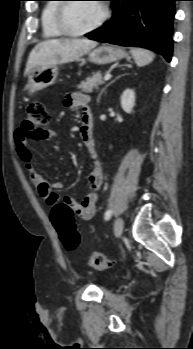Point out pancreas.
<instances>
[{"label": "pancreas", "instance_id": "cf45deb5", "mask_svg": "<svg viewBox=\"0 0 193 349\" xmlns=\"http://www.w3.org/2000/svg\"><path fill=\"white\" fill-rule=\"evenodd\" d=\"M102 84V74L100 72H96L87 77L85 81H82L78 87L82 92L89 93L92 92L93 89H98V86Z\"/></svg>", "mask_w": 193, "mask_h": 349}]
</instances>
